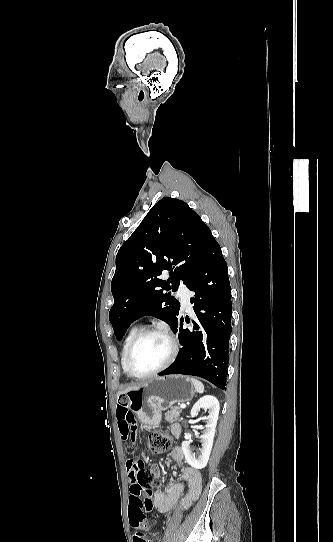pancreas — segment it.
<instances>
[{
	"label": "pancreas",
	"mask_w": 333,
	"mask_h": 542,
	"mask_svg": "<svg viewBox=\"0 0 333 542\" xmlns=\"http://www.w3.org/2000/svg\"><path fill=\"white\" fill-rule=\"evenodd\" d=\"M180 414V408L174 406V408H170L169 412H166L164 418L166 422H170V424H173V422H177V420H180Z\"/></svg>",
	"instance_id": "1"
}]
</instances>
